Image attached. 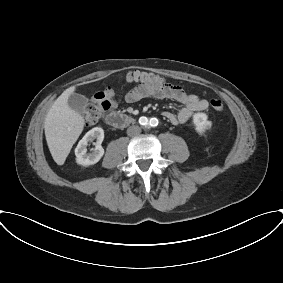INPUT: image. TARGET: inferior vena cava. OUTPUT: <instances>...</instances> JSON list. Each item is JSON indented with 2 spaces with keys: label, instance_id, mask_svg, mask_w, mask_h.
Here are the masks:
<instances>
[{
  "label": "inferior vena cava",
  "instance_id": "1",
  "mask_svg": "<svg viewBox=\"0 0 283 283\" xmlns=\"http://www.w3.org/2000/svg\"><path fill=\"white\" fill-rule=\"evenodd\" d=\"M141 129L139 126H130L128 129H127V135L128 136H135L137 135L138 133H140Z\"/></svg>",
  "mask_w": 283,
  "mask_h": 283
}]
</instances>
